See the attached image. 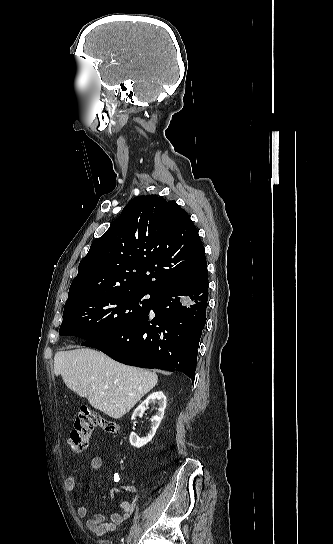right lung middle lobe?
<instances>
[{
    "mask_svg": "<svg viewBox=\"0 0 333 544\" xmlns=\"http://www.w3.org/2000/svg\"><path fill=\"white\" fill-rule=\"evenodd\" d=\"M154 298L153 293L143 290H117L74 299L65 303L59 334L88 341L121 331L147 312Z\"/></svg>",
    "mask_w": 333,
    "mask_h": 544,
    "instance_id": "dd1d6c3e",
    "label": "right lung middle lobe"
}]
</instances>
